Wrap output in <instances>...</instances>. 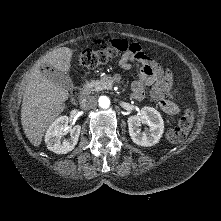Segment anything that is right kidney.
<instances>
[{"label": "right kidney", "instance_id": "obj_1", "mask_svg": "<svg viewBox=\"0 0 221 221\" xmlns=\"http://www.w3.org/2000/svg\"><path fill=\"white\" fill-rule=\"evenodd\" d=\"M67 116L57 118L48 128L45 135L47 148L56 154H67L72 151L78 142L81 131L80 125L69 126ZM70 134V138L61 141V138Z\"/></svg>", "mask_w": 221, "mask_h": 221}]
</instances>
